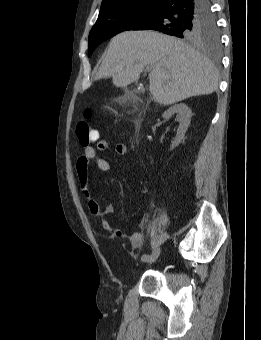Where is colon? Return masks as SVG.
Here are the masks:
<instances>
[{
	"instance_id": "1",
	"label": "colon",
	"mask_w": 261,
	"mask_h": 340,
	"mask_svg": "<svg viewBox=\"0 0 261 340\" xmlns=\"http://www.w3.org/2000/svg\"><path fill=\"white\" fill-rule=\"evenodd\" d=\"M92 115V110L87 109L84 114L85 120L80 121L76 126V135L82 146L95 142L99 137L98 131L88 123Z\"/></svg>"
}]
</instances>
